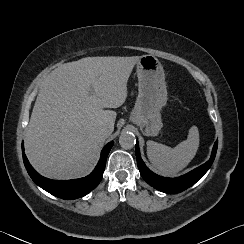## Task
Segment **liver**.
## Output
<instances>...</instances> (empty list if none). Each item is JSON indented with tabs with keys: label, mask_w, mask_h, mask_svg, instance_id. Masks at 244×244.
I'll return each instance as SVG.
<instances>
[{
	"label": "liver",
	"mask_w": 244,
	"mask_h": 244,
	"mask_svg": "<svg viewBox=\"0 0 244 244\" xmlns=\"http://www.w3.org/2000/svg\"><path fill=\"white\" fill-rule=\"evenodd\" d=\"M140 60L132 57H86L53 70L39 91L25 133V151L41 175L57 180L89 174L116 112L127 97V81Z\"/></svg>",
	"instance_id": "6515ba94"
}]
</instances>
